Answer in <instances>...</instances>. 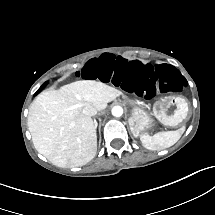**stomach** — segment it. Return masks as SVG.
I'll return each mask as SVG.
<instances>
[{"instance_id": "1", "label": "stomach", "mask_w": 215, "mask_h": 215, "mask_svg": "<svg viewBox=\"0 0 215 215\" xmlns=\"http://www.w3.org/2000/svg\"><path fill=\"white\" fill-rule=\"evenodd\" d=\"M129 126L135 136L155 126L154 118L167 127L178 128L185 125L188 116V104L182 96L166 95L153 104L152 112L144 104L131 103Z\"/></svg>"}]
</instances>
